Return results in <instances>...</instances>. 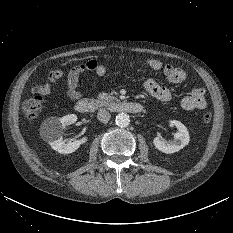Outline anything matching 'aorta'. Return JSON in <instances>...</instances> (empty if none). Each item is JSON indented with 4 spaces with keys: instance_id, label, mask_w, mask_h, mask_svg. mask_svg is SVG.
I'll list each match as a JSON object with an SVG mask.
<instances>
[{
    "instance_id": "aorta-1",
    "label": "aorta",
    "mask_w": 233,
    "mask_h": 233,
    "mask_svg": "<svg viewBox=\"0 0 233 233\" xmlns=\"http://www.w3.org/2000/svg\"><path fill=\"white\" fill-rule=\"evenodd\" d=\"M115 121L119 127H127L130 123V118H129V115L126 113H119L116 116Z\"/></svg>"
}]
</instances>
